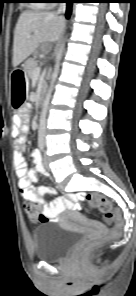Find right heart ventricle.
I'll return each mask as SVG.
<instances>
[{
    "label": "right heart ventricle",
    "mask_w": 136,
    "mask_h": 296,
    "mask_svg": "<svg viewBox=\"0 0 136 296\" xmlns=\"http://www.w3.org/2000/svg\"><path fill=\"white\" fill-rule=\"evenodd\" d=\"M31 5L35 8H46L49 7L50 4L45 0H35Z\"/></svg>",
    "instance_id": "obj_1"
}]
</instances>
